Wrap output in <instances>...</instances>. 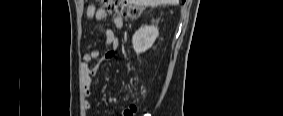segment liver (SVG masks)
Masks as SVG:
<instances>
[{
    "label": "liver",
    "instance_id": "obj_1",
    "mask_svg": "<svg viewBox=\"0 0 283 116\" xmlns=\"http://www.w3.org/2000/svg\"><path fill=\"white\" fill-rule=\"evenodd\" d=\"M134 3L142 6H158V5H177L179 0H132Z\"/></svg>",
    "mask_w": 283,
    "mask_h": 116
}]
</instances>
